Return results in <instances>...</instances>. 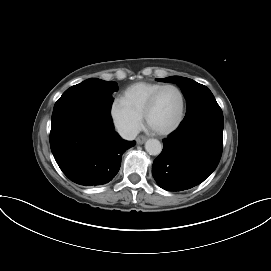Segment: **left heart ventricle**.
<instances>
[{
    "label": "left heart ventricle",
    "mask_w": 271,
    "mask_h": 271,
    "mask_svg": "<svg viewBox=\"0 0 271 271\" xmlns=\"http://www.w3.org/2000/svg\"><path fill=\"white\" fill-rule=\"evenodd\" d=\"M180 96L174 89L164 90L149 115V125L154 130H164L170 127L178 118L180 112Z\"/></svg>",
    "instance_id": "left-heart-ventricle-1"
}]
</instances>
